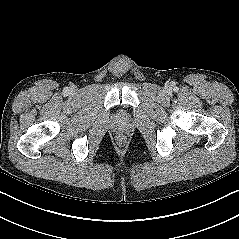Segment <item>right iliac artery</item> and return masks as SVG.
Returning <instances> with one entry per match:
<instances>
[{"label": "right iliac artery", "mask_w": 239, "mask_h": 239, "mask_svg": "<svg viewBox=\"0 0 239 239\" xmlns=\"http://www.w3.org/2000/svg\"><path fill=\"white\" fill-rule=\"evenodd\" d=\"M65 93H68V90H67V89L65 90Z\"/></svg>", "instance_id": "1"}]
</instances>
